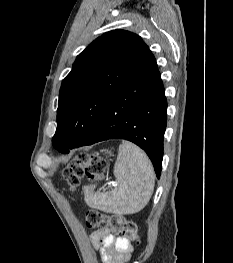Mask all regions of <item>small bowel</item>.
Returning a JSON list of instances; mask_svg holds the SVG:
<instances>
[{"label":"small bowel","instance_id":"small-bowel-1","mask_svg":"<svg viewBox=\"0 0 233 263\" xmlns=\"http://www.w3.org/2000/svg\"><path fill=\"white\" fill-rule=\"evenodd\" d=\"M90 241L99 249L102 263H127L131 258L133 248L129 240L109 228L92 231Z\"/></svg>","mask_w":233,"mask_h":263}]
</instances>
